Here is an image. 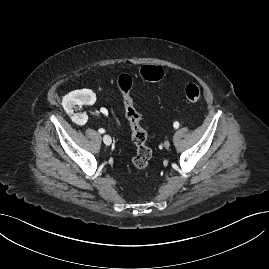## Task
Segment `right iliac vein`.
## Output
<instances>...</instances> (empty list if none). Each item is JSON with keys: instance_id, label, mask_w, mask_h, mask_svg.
<instances>
[{"instance_id": "right-iliac-vein-1", "label": "right iliac vein", "mask_w": 269, "mask_h": 269, "mask_svg": "<svg viewBox=\"0 0 269 269\" xmlns=\"http://www.w3.org/2000/svg\"><path fill=\"white\" fill-rule=\"evenodd\" d=\"M103 142L106 144V145H110L111 142H112V139L109 135H104L103 136Z\"/></svg>"}]
</instances>
